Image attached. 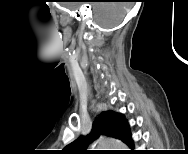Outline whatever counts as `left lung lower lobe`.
Returning <instances> with one entry per match:
<instances>
[{
  "mask_svg": "<svg viewBox=\"0 0 188 154\" xmlns=\"http://www.w3.org/2000/svg\"><path fill=\"white\" fill-rule=\"evenodd\" d=\"M123 142L128 145L130 148H133V141L131 138V133L129 127L127 128L126 134L124 136Z\"/></svg>",
  "mask_w": 188,
  "mask_h": 154,
  "instance_id": "0a47b994",
  "label": "left lung lower lobe"
}]
</instances>
